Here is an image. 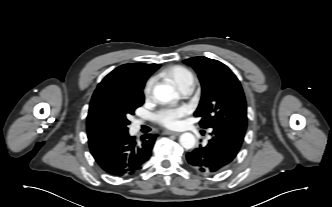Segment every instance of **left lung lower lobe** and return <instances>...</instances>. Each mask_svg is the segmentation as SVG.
Here are the masks:
<instances>
[{
  "label": "left lung lower lobe",
  "mask_w": 332,
  "mask_h": 207,
  "mask_svg": "<svg viewBox=\"0 0 332 207\" xmlns=\"http://www.w3.org/2000/svg\"><path fill=\"white\" fill-rule=\"evenodd\" d=\"M212 138L206 146H200L187 153L188 163L203 174L223 171L239 152L245 131L233 128H212Z\"/></svg>",
  "instance_id": "1"
}]
</instances>
